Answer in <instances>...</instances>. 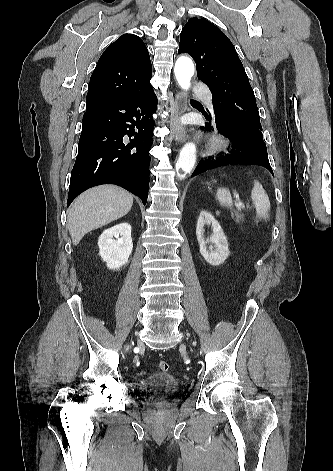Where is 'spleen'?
I'll use <instances>...</instances> for the list:
<instances>
[{
    "label": "spleen",
    "mask_w": 333,
    "mask_h": 471,
    "mask_svg": "<svg viewBox=\"0 0 333 471\" xmlns=\"http://www.w3.org/2000/svg\"><path fill=\"white\" fill-rule=\"evenodd\" d=\"M216 197L222 206L231 207L233 205L230 191L226 188H219ZM251 198L256 208V216L258 218H268L270 201L263 186L256 180L251 191Z\"/></svg>",
    "instance_id": "1"
}]
</instances>
